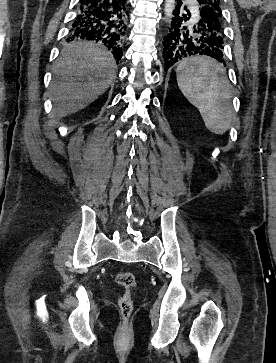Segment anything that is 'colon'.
<instances>
[{
  "label": "colon",
  "instance_id": "obj_1",
  "mask_svg": "<svg viewBox=\"0 0 276 363\" xmlns=\"http://www.w3.org/2000/svg\"><path fill=\"white\" fill-rule=\"evenodd\" d=\"M116 283L124 290L118 299V310L123 319L130 317L133 309V290L136 287V280L131 272L121 271L115 276Z\"/></svg>",
  "mask_w": 276,
  "mask_h": 363
}]
</instances>
